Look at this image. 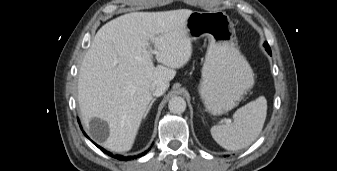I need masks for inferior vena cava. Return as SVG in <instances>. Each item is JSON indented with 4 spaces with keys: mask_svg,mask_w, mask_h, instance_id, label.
<instances>
[{
    "mask_svg": "<svg viewBox=\"0 0 337 171\" xmlns=\"http://www.w3.org/2000/svg\"><path fill=\"white\" fill-rule=\"evenodd\" d=\"M167 87L168 85L164 81L156 80L151 84L150 90L153 96L159 97L165 93Z\"/></svg>",
    "mask_w": 337,
    "mask_h": 171,
    "instance_id": "602c4592",
    "label": "inferior vena cava"
}]
</instances>
